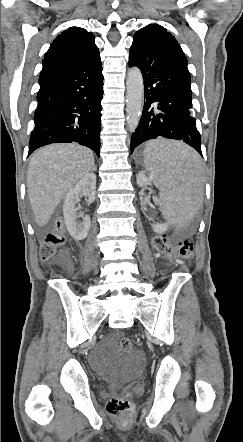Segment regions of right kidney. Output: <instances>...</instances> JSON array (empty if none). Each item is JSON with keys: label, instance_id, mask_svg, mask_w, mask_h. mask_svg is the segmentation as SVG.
<instances>
[{"label": "right kidney", "instance_id": "ca27d5eb", "mask_svg": "<svg viewBox=\"0 0 243 442\" xmlns=\"http://www.w3.org/2000/svg\"><path fill=\"white\" fill-rule=\"evenodd\" d=\"M96 175L88 173L66 195L63 205V216L69 234L75 240H83L87 237L90 229V216L83 212H77L75 205L79 202V195L83 194L88 199V203L95 200ZM82 218V221H77Z\"/></svg>", "mask_w": 243, "mask_h": 442}]
</instances>
